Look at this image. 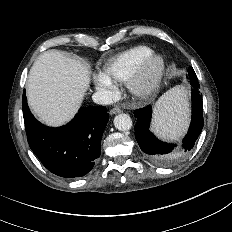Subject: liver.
Returning a JSON list of instances; mask_svg holds the SVG:
<instances>
[{"label": "liver", "mask_w": 232, "mask_h": 232, "mask_svg": "<svg viewBox=\"0 0 232 232\" xmlns=\"http://www.w3.org/2000/svg\"><path fill=\"white\" fill-rule=\"evenodd\" d=\"M90 74L85 62L63 52L42 53L31 67L26 84L33 113L49 126L67 123L82 103Z\"/></svg>", "instance_id": "6515ba94"}]
</instances>
